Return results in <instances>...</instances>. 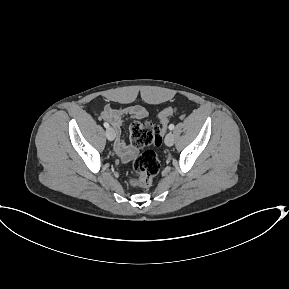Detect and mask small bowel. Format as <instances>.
I'll return each instance as SVG.
<instances>
[{
	"label": "small bowel",
	"instance_id": "small-bowel-1",
	"mask_svg": "<svg viewBox=\"0 0 289 289\" xmlns=\"http://www.w3.org/2000/svg\"><path fill=\"white\" fill-rule=\"evenodd\" d=\"M147 115V110L140 105H132L121 109H114L111 106H106L102 111L101 117L110 122L117 133L115 152L123 162H129L138 152L137 148L128 145L122 136L124 121L128 118L143 119Z\"/></svg>",
	"mask_w": 289,
	"mask_h": 289
}]
</instances>
